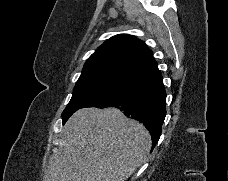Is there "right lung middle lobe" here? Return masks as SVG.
<instances>
[{
  "instance_id": "dd1d6c3e",
  "label": "right lung middle lobe",
  "mask_w": 228,
  "mask_h": 181,
  "mask_svg": "<svg viewBox=\"0 0 228 181\" xmlns=\"http://www.w3.org/2000/svg\"><path fill=\"white\" fill-rule=\"evenodd\" d=\"M130 79L112 76H90L79 78L73 95L62 113L63 124L78 109L98 106L121 92Z\"/></svg>"
}]
</instances>
